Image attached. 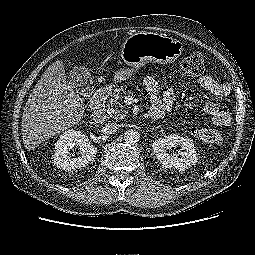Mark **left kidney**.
Masks as SVG:
<instances>
[{"instance_id":"1","label":"left kidney","mask_w":255,"mask_h":255,"mask_svg":"<svg viewBox=\"0 0 255 255\" xmlns=\"http://www.w3.org/2000/svg\"><path fill=\"white\" fill-rule=\"evenodd\" d=\"M182 146V152H180L181 158L177 154L170 155L167 153V149ZM154 153H156L157 159L165 168H175L179 171H184L195 165L197 162V156L195 153V146L193 140L189 138L180 137L177 134L168 135L165 139L158 138L152 144ZM179 155V154H178Z\"/></svg>"}]
</instances>
